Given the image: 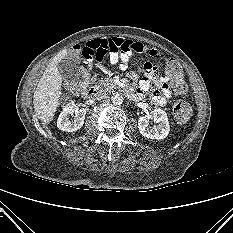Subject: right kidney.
Listing matches in <instances>:
<instances>
[{
  "label": "right kidney",
  "mask_w": 233,
  "mask_h": 233,
  "mask_svg": "<svg viewBox=\"0 0 233 233\" xmlns=\"http://www.w3.org/2000/svg\"><path fill=\"white\" fill-rule=\"evenodd\" d=\"M75 114L72 121L69 120V116ZM86 109L84 108H74L73 105L66 106L59 114L57 120V127L60 130L73 132L80 129L85 120Z\"/></svg>",
  "instance_id": "right-kidney-1"
}]
</instances>
